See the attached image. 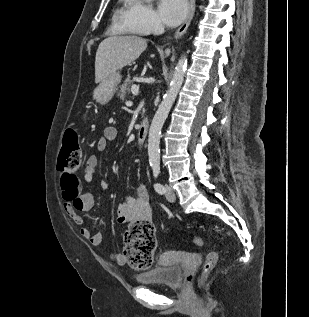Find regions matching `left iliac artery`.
I'll use <instances>...</instances> for the list:
<instances>
[{"instance_id":"left-iliac-artery-1","label":"left iliac artery","mask_w":309,"mask_h":317,"mask_svg":"<svg viewBox=\"0 0 309 317\" xmlns=\"http://www.w3.org/2000/svg\"><path fill=\"white\" fill-rule=\"evenodd\" d=\"M152 169H153V176L156 179L158 177V175L160 174V166L159 165H153ZM154 189L159 194H164L165 193V188L160 183H155L154 184Z\"/></svg>"}]
</instances>
